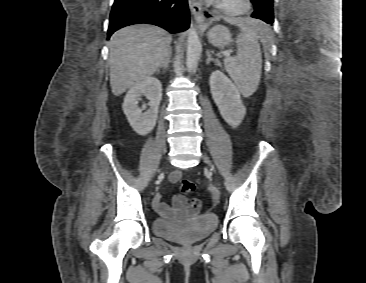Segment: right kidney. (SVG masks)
<instances>
[{
    "label": "right kidney",
    "mask_w": 366,
    "mask_h": 283,
    "mask_svg": "<svg viewBox=\"0 0 366 283\" xmlns=\"http://www.w3.org/2000/svg\"><path fill=\"white\" fill-rule=\"evenodd\" d=\"M141 95L149 100V109L146 112V105L138 106ZM162 99V84L155 77H147L136 83L127 92L122 105L130 126L139 135L150 133L157 121L158 108Z\"/></svg>",
    "instance_id": "right-kidney-1"
}]
</instances>
